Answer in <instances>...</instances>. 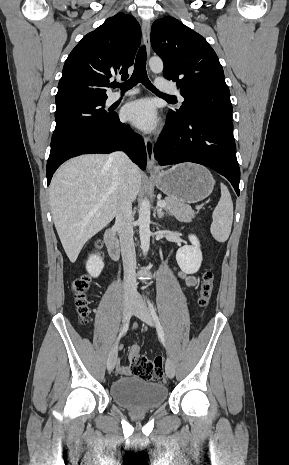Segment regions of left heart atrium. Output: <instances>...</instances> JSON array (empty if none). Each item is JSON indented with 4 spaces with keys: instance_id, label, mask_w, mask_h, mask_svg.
<instances>
[{
    "instance_id": "1",
    "label": "left heart atrium",
    "mask_w": 289,
    "mask_h": 465,
    "mask_svg": "<svg viewBox=\"0 0 289 465\" xmlns=\"http://www.w3.org/2000/svg\"><path fill=\"white\" fill-rule=\"evenodd\" d=\"M123 117L142 130L150 131L157 123V111L152 100L144 98L128 103Z\"/></svg>"
}]
</instances>
